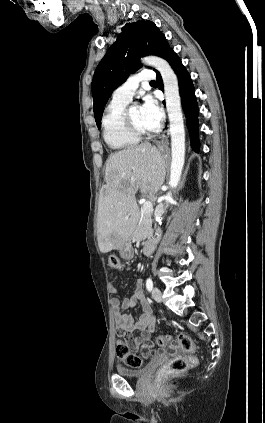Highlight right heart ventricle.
<instances>
[{
	"label": "right heart ventricle",
	"mask_w": 265,
	"mask_h": 423,
	"mask_svg": "<svg viewBox=\"0 0 265 423\" xmlns=\"http://www.w3.org/2000/svg\"><path fill=\"white\" fill-rule=\"evenodd\" d=\"M126 105L127 102L112 99L102 118L104 140L115 150L130 149L139 143V138L132 135L124 125L123 113Z\"/></svg>",
	"instance_id": "right-heart-ventricle-1"
}]
</instances>
